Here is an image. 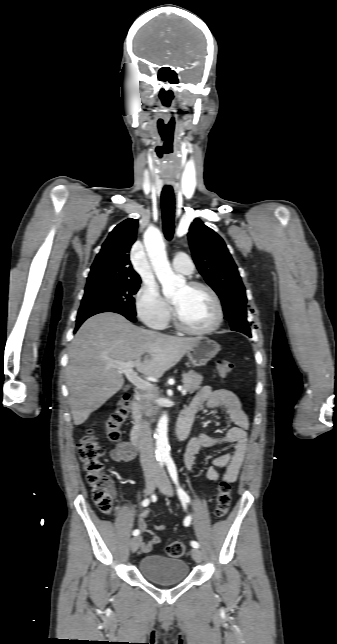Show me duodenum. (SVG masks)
I'll return each instance as SVG.
<instances>
[{"label": "duodenum", "instance_id": "410a0bca", "mask_svg": "<svg viewBox=\"0 0 337 644\" xmlns=\"http://www.w3.org/2000/svg\"><path fill=\"white\" fill-rule=\"evenodd\" d=\"M131 412L133 424L130 430V442L134 447H141L143 443V413L138 398H134L131 403ZM192 418L185 413H181L176 428L175 436L178 441H184L190 432Z\"/></svg>", "mask_w": 337, "mask_h": 644}]
</instances>
